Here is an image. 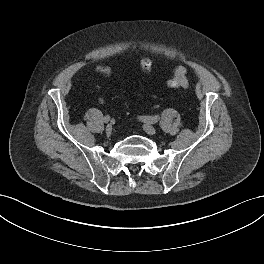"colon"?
Masks as SVG:
<instances>
[{"instance_id":"obj_1","label":"colon","mask_w":264,"mask_h":264,"mask_svg":"<svg viewBox=\"0 0 264 264\" xmlns=\"http://www.w3.org/2000/svg\"><path fill=\"white\" fill-rule=\"evenodd\" d=\"M140 68L143 72H150L152 69V61L149 58H143L140 61ZM97 71L104 76H110L111 69L107 66L100 65L97 67ZM187 70L184 67H178L175 70L173 77L166 81V85L169 88H186L188 87Z\"/></svg>"}]
</instances>
